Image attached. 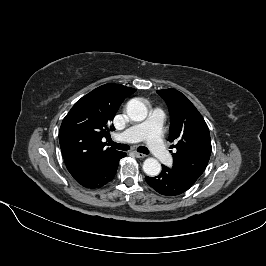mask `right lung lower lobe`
Masks as SVG:
<instances>
[{
  "instance_id": "right-lung-lower-lobe-1",
  "label": "right lung lower lobe",
  "mask_w": 266,
  "mask_h": 266,
  "mask_svg": "<svg viewBox=\"0 0 266 266\" xmlns=\"http://www.w3.org/2000/svg\"><path fill=\"white\" fill-rule=\"evenodd\" d=\"M125 156V153L119 152L114 158L109 160L103 167H101L91 176L77 182L86 188H99L105 185L114 178L119 161Z\"/></svg>"
}]
</instances>
